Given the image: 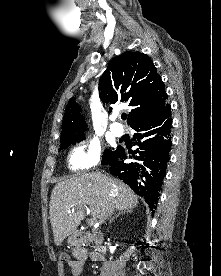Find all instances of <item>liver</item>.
<instances>
[{
  "mask_svg": "<svg viewBox=\"0 0 221 276\" xmlns=\"http://www.w3.org/2000/svg\"><path fill=\"white\" fill-rule=\"evenodd\" d=\"M111 203L114 209L125 211L137 206L138 197L123 182L101 172L84 173L59 182L53 188L49 205L55 244L59 246L76 232L85 217L86 206L90 207L93 219L103 222Z\"/></svg>",
  "mask_w": 221,
  "mask_h": 276,
  "instance_id": "1",
  "label": "liver"
}]
</instances>
